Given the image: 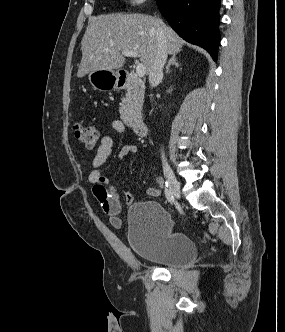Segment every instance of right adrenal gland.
<instances>
[{
	"label": "right adrenal gland",
	"mask_w": 285,
	"mask_h": 332,
	"mask_svg": "<svg viewBox=\"0 0 285 332\" xmlns=\"http://www.w3.org/2000/svg\"><path fill=\"white\" fill-rule=\"evenodd\" d=\"M177 54H173L171 59L169 60L166 68H165V73L168 74L169 73V70H170V67L171 66H175V67H179L180 64L177 62V58H176Z\"/></svg>",
	"instance_id": "2a0ac1e0"
}]
</instances>
